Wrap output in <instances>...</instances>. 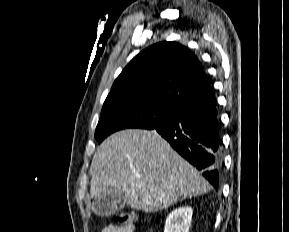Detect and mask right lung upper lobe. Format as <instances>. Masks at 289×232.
Segmentation results:
<instances>
[{"instance_id":"1","label":"right lung upper lobe","mask_w":289,"mask_h":232,"mask_svg":"<svg viewBox=\"0 0 289 232\" xmlns=\"http://www.w3.org/2000/svg\"><path fill=\"white\" fill-rule=\"evenodd\" d=\"M137 96L179 109L215 99L196 55L179 43L167 41L135 56L116 78L106 99Z\"/></svg>"}]
</instances>
